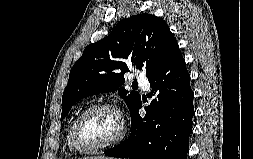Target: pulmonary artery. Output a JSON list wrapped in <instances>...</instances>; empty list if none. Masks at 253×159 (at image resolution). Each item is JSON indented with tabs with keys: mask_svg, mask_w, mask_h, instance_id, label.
<instances>
[{
	"mask_svg": "<svg viewBox=\"0 0 253 159\" xmlns=\"http://www.w3.org/2000/svg\"><path fill=\"white\" fill-rule=\"evenodd\" d=\"M135 79L143 90L149 89V81L143 72H137L135 74Z\"/></svg>",
	"mask_w": 253,
	"mask_h": 159,
	"instance_id": "1",
	"label": "pulmonary artery"
}]
</instances>
